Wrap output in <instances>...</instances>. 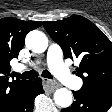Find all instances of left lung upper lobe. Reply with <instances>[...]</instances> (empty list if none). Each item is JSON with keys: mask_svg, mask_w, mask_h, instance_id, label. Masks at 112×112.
I'll return each mask as SVG.
<instances>
[{"mask_svg": "<svg viewBox=\"0 0 112 112\" xmlns=\"http://www.w3.org/2000/svg\"><path fill=\"white\" fill-rule=\"evenodd\" d=\"M43 25L61 46L65 58L81 60L76 68L77 75L83 79L81 90L112 95V43L103 32L79 15L44 21Z\"/></svg>", "mask_w": 112, "mask_h": 112, "instance_id": "1", "label": "left lung upper lobe"}]
</instances>
